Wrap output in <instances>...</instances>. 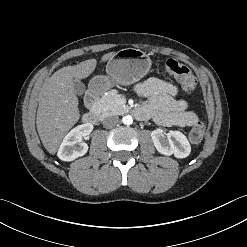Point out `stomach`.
I'll list each match as a JSON object with an SVG mask.
<instances>
[{
	"label": "stomach",
	"instance_id": "stomach-1",
	"mask_svg": "<svg viewBox=\"0 0 247 247\" xmlns=\"http://www.w3.org/2000/svg\"><path fill=\"white\" fill-rule=\"evenodd\" d=\"M151 64V59L140 49H122L109 59L107 76H95L90 81V89L103 92L114 84L131 85L148 73Z\"/></svg>",
	"mask_w": 247,
	"mask_h": 247
}]
</instances>
